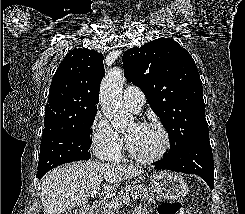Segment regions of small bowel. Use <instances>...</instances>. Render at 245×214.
Segmentation results:
<instances>
[{
    "label": "small bowel",
    "mask_w": 245,
    "mask_h": 214,
    "mask_svg": "<svg viewBox=\"0 0 245 214\" xmlns=\"http://www.w3.org/2000/svg\"><path fill=\"white\" fill-rule=\"evenodd\" d=\"M132 214H147V212L143 208H136Z\"/></svg>",
    "instance_id": "small-bowel-1"
}]
</instances>
